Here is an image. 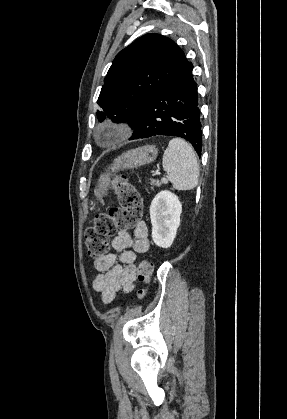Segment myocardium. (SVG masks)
<instances>
[{"mask_svg":"<svg viewBox=\"0 0 287 419\" xmlns=\"http://www.w3.org/2000/svg\"><path fill=\"white\" fill-rule=\"evenodd\" d=\"M130 135V128L127 124L113 121H106L97 131V138L105 144L117 143Z\"/></svg>","mask_w":287,"mask_h":419,"instance_id":"1","label":"myocardium"}]
</instances>
